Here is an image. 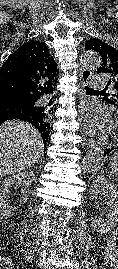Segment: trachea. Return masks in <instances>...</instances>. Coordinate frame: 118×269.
<instances>
[{
	"mask_svg": "<svg viewBox=\"0 0 118 269\" xmlns=\"http://www.w3.org/2000/svg\"><path fill=\"white\" fill-rule=\"evenodd\" d=\"M85 90H86V93H92V92H97L96 90L90 88V87H87L85 86Z\"/></svg>",
	"mask_w": 118,
	"mask_h": 269,
	"instance_id": "3493384b",
	"label": "trachea"
}]
</instances>
